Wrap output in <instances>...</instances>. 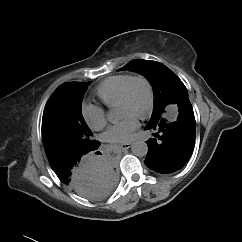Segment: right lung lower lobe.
I'll return each mask as SVG.
<instances>
[{
  "label": "right lung lower lobe",
  "instance_id": "obj_1",
  "mask_svg": "<svg viewBox=\"0 0 242 242\" xmlns=\"http://www.w3.org/2000/svg\"><path fill=\"white\" fill-rule=\"evenodd\" d=\"M51 168L63 184L91 200L109 196L118 180L111 157L92 158L89 153L57 160Z\"/></svg>",
  "mask_w": 242,
  "mask_h": 242
}]
</instances>
